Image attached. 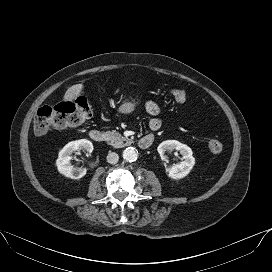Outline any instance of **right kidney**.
Segmentation results:
<instances>
[{"label":"right kidney","instance_id":"1","mask_svg":"<svg viewBox=\"0 0 272 272\" xmlns=\"http://www.w3.org/2000/svg\"><path fill=\"white\" fill-rule=\"evenodd\" d=\"M76 150H84L91 153L93 151V144L86 139L76 140L66 144L59 152L58 159L56 160L57 169L62 175L71 179H80L86 174L85 168H77L70 162L72 159L71 154Z\"/></svg>","mask_w":272,"mask_h":272}]
</instances>
